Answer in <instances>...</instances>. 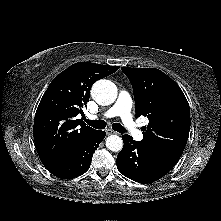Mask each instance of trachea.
Returning <instances> with one entry per match:
<instances>
[{
	"mask_svg": "<svg viewBox=\"0 0 221 221\" xmlns=\"http://www.w3.org/2000/svg\"><path fill=\"white\" fill-rule=\"evenodd\" d=\"M85 122L95 129H104L106 127V122L104 120H87L86 119ZM112 128L119 133H124L126 131L125 128L120 123H114L112 125Z\"/></svg>",
	"mask_w": 221,
	"mask_h": 221,
	"instance_id": "3493384b",
	"label": "trachea"
}]
</instances>
